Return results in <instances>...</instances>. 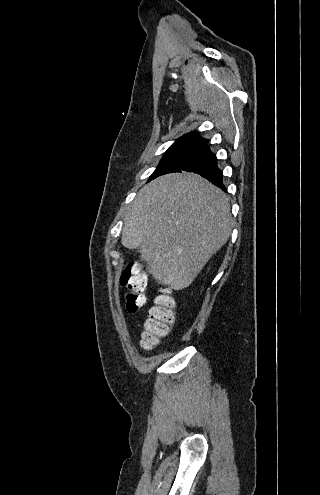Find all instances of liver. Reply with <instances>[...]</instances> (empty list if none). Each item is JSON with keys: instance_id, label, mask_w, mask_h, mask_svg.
<instances>
[{"instance_id": "liver-1", "label": "liver", "mask_w": 320, "mask_h": 495, "mask_svg": "<svg viewBox=\"0 0 320 495\" xmlns=\"http://www.w3.org/2000/svg\"><path fill=\"white\" fill-rule=\"evenodd\" d=\"M226 194L202 176L176 172L145 185L129 207L122 244L139 248L160 284L187 288L231 235Z\"/></svg>"}]
</instances>
